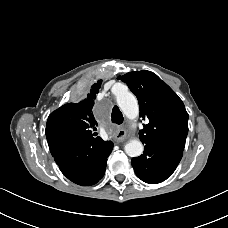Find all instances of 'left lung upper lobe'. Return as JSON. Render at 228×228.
Returning <instances> with one entry per match:
<instances>
[{"label":"left lung upper lobe","mask_w":228,"mask_h":228,"mask_svg":"<svg viewBox=\"0 0 228 228\" xmlns=\"http://www.w3.org/2000/svg\"><path fill=\"white\" fill-rule=\"evenodd\" d=\"M118 79L136 95L140 117L148 122L139 132L142 143H164L184 149L189 115L178 95L150 71H133Z\"/></svg>","instance_id":"left-lung-upper-lobe-1"}]
</instances>
